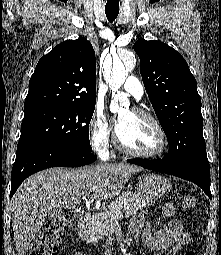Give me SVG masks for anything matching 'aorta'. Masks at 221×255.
<instances>
[{
	"instance_id": "obj_1",
	"label": "aorta",
	"mask_w": 221,
	"mask_h": 255,
	"mask_svg": "<svg viewBox=\"0 0 221 255\" xmlns=\"http://www.w3.org/2000/svg\"><path fill=\"white\" fill-rule=\"evenodd\" d=\"M136 58L133 53L126 52L122 57L113 58V66H106L104 69V77L109 87L112 89V101L110 110L118 112L119 115L125 112V107L129 105V100L124 93L118 92L128 75V71L135 67Z\"/></svg>"
}]
</instances>
